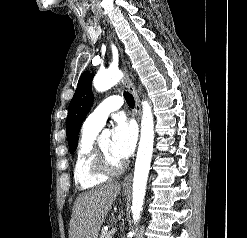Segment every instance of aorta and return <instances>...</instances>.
Here are the masks:
<instances>
[{
	"label": "aorta",
	"instance_id": "762f6f07",
	"mask_svg": "<svg viewBox=\"0 0 247 238\" xmlns=\"http://www.w3.org/2000/svg\"><path fill=\"white\" fill-rule=\"evenodd\" d=\"M123 74L119 70H107L98 73L93 85L98 92H104L116 85ZM103 136L109 137L110 132L104 131ZM154 143V120L151 106L148 101L143 102V114L141 120V135L138 146L134 177H133V193H132V213L133 220L137 222L144 204L146 184L150 170V163L153 153Z\"/></svg>",
	"mask_w": 247,
	"mask_h": 238
}]
</instances>
